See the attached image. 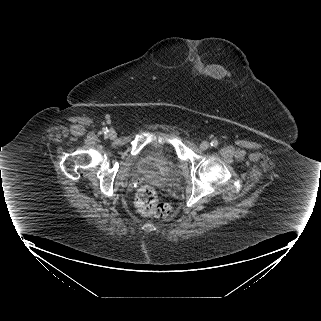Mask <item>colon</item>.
Here are the masks:
<instances>
[{"mask_svg": "<svg viewBox=\"0 0 321 321\" xmlns=\"http://www.w3.org/2000/svg\"><path fill=\"white\" fill-rule=\"evenodd\" d=\"M135 206L144 216L165 217L171 212L168 203L160 200L155 188L149 185L142 186L135 197Z\"/></svg>", "mask_w": 321, "mask_h": 321, "instance_id": "1", "label": "colon"}]
</instances>
